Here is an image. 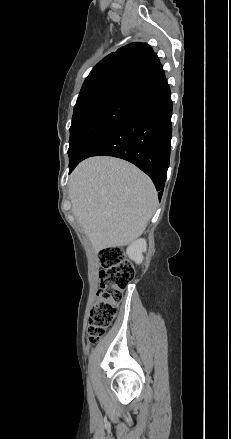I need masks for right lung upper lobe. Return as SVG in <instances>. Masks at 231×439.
Instances as JSON below:
<instances>
[{
  "label": "right lung upper lobe",
  "mask_w": 231,
  "mask_h": 439,
  "mask_svg": "<svg viewBox=\"0 0 231 439\" xmlns=\"http://www.w3.org/2000/svg\"><path fill=\"white\" fill-rule=\"evenodd\" d=\"M165 78L162 65L146 43H131L101 60L85 79L75 107L98 97L128 93Z\"/></svg>",
  "instance_id": "obj_1"
}]
</instances>
